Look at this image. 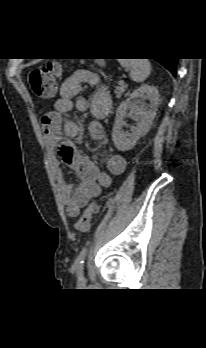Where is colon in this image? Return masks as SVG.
<instances>
[{
  "instance_id": "obj_1",
  "label": "colon",
  "mask_w": 206,
  "mask_h": 348,
  "mask_svg": "<svg viewBox=\"0 0 206 348\" xmlns=\"http://www.w3.org/2000/svg\"><path fill=\"white\" fill-rule=\"evenodd\" d=\"M59 71L60 66L57 63L31 69L28 74L31 92L38 98L52 96L56 90V76ZM98 211V202H91L77 219L75 229L79 232H87L91 227L93 217Z\"/></svg>"
}]
</instances>
